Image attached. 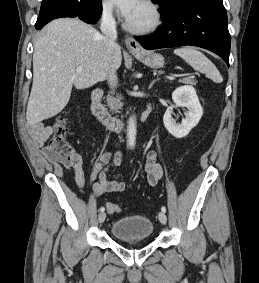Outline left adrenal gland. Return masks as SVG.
<instances>
[{
    "label": "left adrenal gland",
    "mask_w": 259,
    "mask_h": 283,
    "mask_svg": "<svg viewBox=\"0 0 259 283\" xmlns=\"http://www.w3.org/2000/svg\"><path fill=\"white\" fill-rule=\"evenodd\" d=\"M156 81H157V79L153 80V81L150 83L148 89H151Z\"/></svg>",
    "instance_id": "1"
}]
</instances>
